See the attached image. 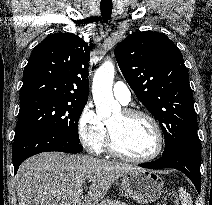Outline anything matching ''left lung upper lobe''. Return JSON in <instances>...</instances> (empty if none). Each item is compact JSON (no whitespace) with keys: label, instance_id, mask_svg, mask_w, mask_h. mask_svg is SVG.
<instances>
[{"label":"left lung upper lobe","instance_id":"5c2ea615","mask_svg":"<svg viewBox=\"0 0 212 205\" xmlns=\"http://www.w3.org/2000/svg\"><path fill=\"white\" fill-rule=\"evenodd\" d=\"M118 65L137 98L159 121L163 155L197 131L189 74L177 46L158 32H135L115 48Z\"/></svg>","mask_w":212,"mask_h":205}]
</instances>
